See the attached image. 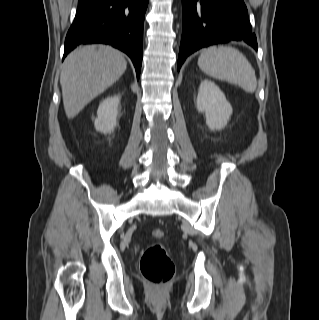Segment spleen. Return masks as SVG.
<instances>
[{"instance_id": "3e777b00", "label": "spleen", "mask_w": 319, "mask_h": 320, "mask_svg": "<svg viewBox=\"0 0 319 320\" xmlns=\"http://www.w3.org/2000/svg\"><path fill=\"white\" fill-rule=\"evenodd\" d=\"M198 66L207 75L236 84L248 93L256 90L255 71L237 49L228 46L208 47L202 50Z\"/></svg>"}]
</instances>
